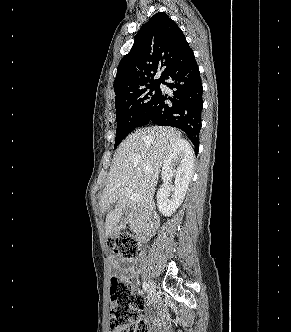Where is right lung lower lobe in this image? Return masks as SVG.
<instances>
[{
    "mask_svg": "<svg viewBox=\"0 0 291 332\" xmlns=\"http://www.w3.org/2000/svg\"><path fill=\"white\" fill-rule=\"evenodd\" d=\"M164 80H168V82ZM164 80L163 84L174 89V97L171 98L161 91L140 126L154 123L160 126L177 127L188 135L197 154L203 108V88L195 57L172 70ZM168 100H171L172 104H168Z\"/></svg>",
    "mask_w": 291,
    "mask_h": 332,
    "instance_id": "1",
    "label": "right lung lower lobe"
}]
</instances>
